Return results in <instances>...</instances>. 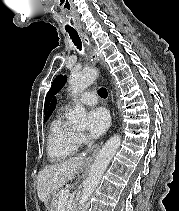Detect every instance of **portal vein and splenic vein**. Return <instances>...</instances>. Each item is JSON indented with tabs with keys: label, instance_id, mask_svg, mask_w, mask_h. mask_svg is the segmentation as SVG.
<instances>
[{
	"label": "portal vein and splenic vein",
	"instance_id": "18ae733b",
	"mask_svg": "<svg viewBox=\"0 0 179 211\" xmlns=\"http://www.w3.org/2000/svg\"><path fill=\"white\" fill-rule=\"evenodd\" d=\"M69 190H62L59 196V202L60 203H65L69 197Z\"/></svg>",
	"mask_w": 179,
	"mask_h": 211
}]
</instances>
